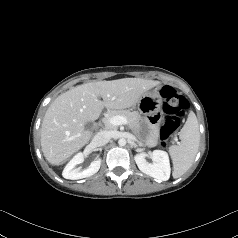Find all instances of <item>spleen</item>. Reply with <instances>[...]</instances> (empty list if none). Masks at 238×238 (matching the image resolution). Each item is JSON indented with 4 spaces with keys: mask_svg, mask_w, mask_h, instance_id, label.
Here are the masks:
<instances>
[{
    "mask_svg": "<svg viewBox=\"0 0 238 238\" xmlns=\"http://www.w3.org/2000/svg\"><path fill=\"white\" fill-rule=\"evenodd\" d=\"M181 143L169 147L173 162V177L182 176L194 162L198 152L200 133L198 120L194 112H190L187 121L180 131Z\"/></svg>",
    "mask_w": 238,
    "mask_h": 238,
    "instance_id": "1",
    "label": "spleen"
}]
</instances>
